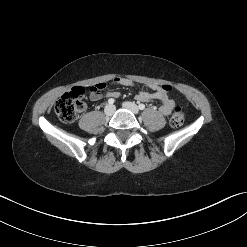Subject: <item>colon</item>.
Masks as SVG:
<instances>
[{
    "label": "colon",
    "instance_id": "obj_1",
    "mask_svg": "<svg viewBox=\"0 0 247 247\" xmlns=\"http://www.w3.org/2000/svg\"><path fill=\"white\" fill-rule=\"evenodd\" d=\"M106 86V83H98L93 85L90 90L102 91ZM83 95V88L73 87L57 100L55 113L62 122L71 123L76 119L77 114L84 107ZM184 119L183 109L180 106H176L170 118L171 126L174 128L182 126Z\"/></svg>",
    "mask_w": 247,
    "mask_h": 247
}]
</instances>
